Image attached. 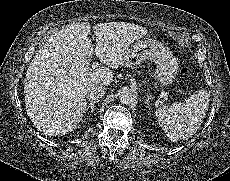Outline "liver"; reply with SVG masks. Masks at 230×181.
<instances>
[{"label":"liver","mask_w":230,"mask_h":181,"mask_svg":"<svg viewBox=\"0 0 230 181\" xmlns=\"http://www.w3.org/2000/svg\"><path fill=\"white\" fill-rule=\"evenodd\" d=\"M122 25L93 26L96 56L108 67H91L89 23L71 25L47 39L27 70L24 86L27 114L38 130L59 135L77 127L87 108L86 90L109 85L114 77L110 68L123 62L133 39L147 34L144 27Z\"/></svg>","instance_id":"obj_1"}]
</instances>
